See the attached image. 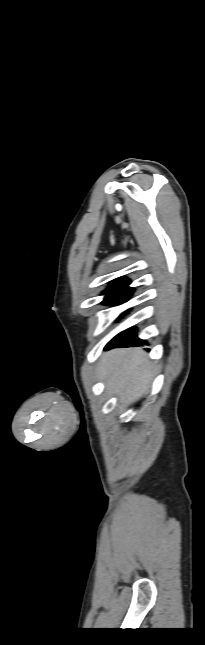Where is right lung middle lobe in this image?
<instances>
[{"label":"right lung middle lobe","mask_w":205,"mask_h":645,"mask_svg":"<svg viewBox=\"0 0 205 645\" xmlns=\"http://www.w3.org/2000/svg\"><path fill=\"white\" fill-rule=\"evenodd\" d=\"M132 295V291H127V292H122L119 294H115L109 298H107L104 303L106 304H121L125 302L130 296Z\"/></svg>","instance_id":"dd1d6c3e"}]
</instances>
